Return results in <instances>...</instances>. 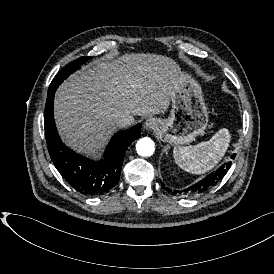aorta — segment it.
<instances>
[{"label":"aorta","instance_id":"obj_1","mask_svg":"<svg viewBox=\"0 0 274 274\" xmlns=\"http://www.w3.org/2000/svg\"><path fill=\"white\" fill-rule=\"evenodd\" d=\"M154 150V142L148 137H143L136 143V151L140 156L149 157L154 153Z\"/></svg>","mask_w":274,"mask_h":274}]
</instances>
